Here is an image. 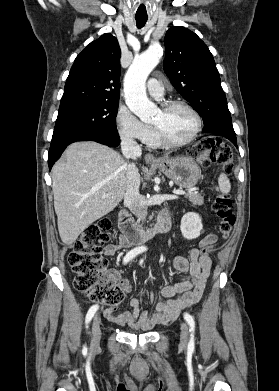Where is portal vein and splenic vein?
I'll list each match as a JSON object with an SVG mask.
<instances>
[{
	"label": "portal vein and splenic vein",
	"mask_w": 279,
	"mask_h": 391,
	"mask_svg": "<svg viewBox=\"0 0 279 391\" xmlns=\"http://www.w3.org/2000/svg\"><path fill=\"white\" fill-rule=\"evenodd\" d=\"M173 193L174 194H177V195H183V194H186L184 191H182V190H173ZM108 196V194L107 195H104L103 197H107Z\"/></svg>",
	"instance_id": "portal-vein-and-splenic-vein-1"
}]
</instances>
